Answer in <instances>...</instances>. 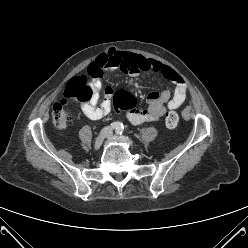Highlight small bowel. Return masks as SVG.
Segmentation results:
<instances>
[{"label":"small bowel","mask_w":248,"mask_h":248,"mask_svg":"<svg viewBox=\"0 0 248 248\" xmlns=\"http://www.w3.org/2000/svg\"><path fill=\"white\" fill-rule=\"evenodd\" d=\"M91 66L99 67L102 70H120L128 72L134 77L140 76L144 72H155L162 75L174 84L173 92L163 90L162 92H151L147 96L148 107L137 109L134 106L128 111V120L135 125L145 122L155 121L161 118L167 111L178 108L187 95V85L183 77L171 67L156 60L125 52L112 51L102 57ZM93 89L92 98L82 104L83 113L92 120H99L107 116L111 110V97L114 89L105 88V99L100 106H97L99 92L102 89L100 78H95L90 83Z\"/></svg>","instance_id":"c3829d8e"}]
</instances>
